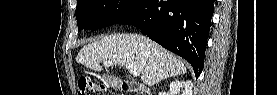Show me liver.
Here are the masks:
<instances>
[{"label": "liver", "mask_w": 277, "mask_h": 95, "mask_svg": "<svg viewBox=\"0 0 277 95\" xmlns=\"http://www.w3.org/2000/svg\"><path fill=\"white\" fill-rule=\"evenodd\" d=\"M76 61L95 71H101V63L107 61L115 66L133 64L148 86L187 72L182 59L140 34L105 36L83 46Z\"/></svg>", "instance_id": "1"}]
</instances>
